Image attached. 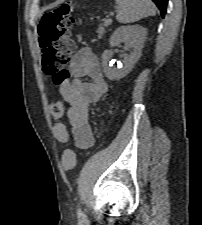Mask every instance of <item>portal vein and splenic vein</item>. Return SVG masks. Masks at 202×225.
<instances>
[{"instance_id":"portal-vein-and-splenic-vein-1","label":"portal vein and splenic vein","mask_w":202,"mask_h":225,"mask_svg":"<svg viewBox=\"0 0 202 225\" xmlns=\"http://www.w3.org/2000/svg\"><path fill=\"white\" fill-rule=\"evenodd\" d=\"M106 21H107V23L110 24L112 22V19L111 18H108Z\"/></svg>"}]
</instances>
